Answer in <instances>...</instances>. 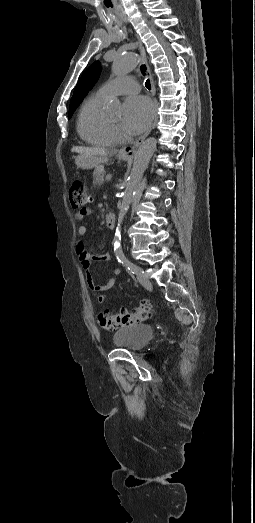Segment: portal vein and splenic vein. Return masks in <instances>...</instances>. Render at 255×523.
<instances>
[{"label":"portal vein and splenic vein","mask_w":255,"mask_h":523,"mask_svg":"<svg viewBox=\"0 0 255 523\" xmlns=\"http://www.w3.org/2000/svg\"><path fill=\"white\" fill-rule=\"evenodd\" d=\"M113 178H114V173H112V172H108V173L106 174V180H107L108 182H111V181L113 180Z\"/></svg>","instance_id":"18ae733b"}]
</instances>
